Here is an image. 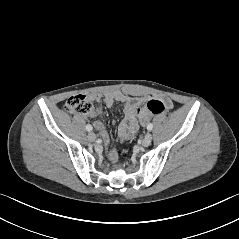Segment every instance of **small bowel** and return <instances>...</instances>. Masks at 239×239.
I'll return each instance as SVG.
<instances>
[{"label": "small bowel", "mask_w": 239, "mask_h": 239, "mask_svg": "<svg viewBox=\"0 0 239 239\" xmlns=\"http://www.w3.org/2000/svg\"><path fill=\"white\" fill-rule=\"evenodd\" d=\"M89 99L95 102L103 100L106 106L109 108L113 107L115 103L121 104L124 112V118L118 127L117 139L120 142L128 140L136 133V131L138 130L136 111L139 105L146 100L145 98L132 97L120 91H113L107 92L105 94H91L89 96ZM164 103L168 109L172 108L173 106V103L170 99H164ZM100 113L101 111L99 109H96L92 112V115L95 116L99 115ZM94 127L100 132L104 142L106 144H109L111 137L105 130L102 120L97 119L94 122ZM108 156L110 159H115L117 156L116 150H109Z\"/></svg>", "instance_id": "small-bowel-1"}]
</instances>
